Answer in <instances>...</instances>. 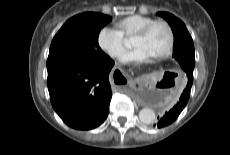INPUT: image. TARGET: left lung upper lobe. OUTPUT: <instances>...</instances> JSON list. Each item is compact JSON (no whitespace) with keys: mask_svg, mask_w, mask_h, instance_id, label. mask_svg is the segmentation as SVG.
<instances>
[{"mask_svg":"<svg viewBox=\"0 0 230 155\" xmlns=\"http://www.w3.org/2000/svg\"><path fill=\"white\" fill-rule=\"evenodd\" d=\"M171 26L174 38V54L173 57L179 62L182 69L188 73L192 71L195 65L193 40L184 25V23L168 12H158Z\"/></svg>","mask_w":230,"mask_h":155,"instance_id":"left-lung-upper-lobe-1","label":"left lung upper lobe"}]
</instances>
